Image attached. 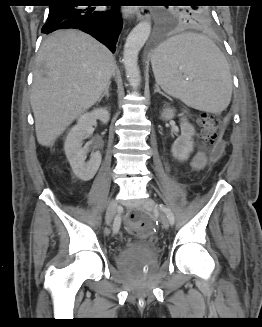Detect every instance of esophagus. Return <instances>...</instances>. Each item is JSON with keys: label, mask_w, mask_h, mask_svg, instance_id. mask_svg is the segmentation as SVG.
Returning <instances> with one entry per match:
<instances>
[{"label": "esophagus", "mask_w": 262, "mask_h": 327, "mask_svg": "<svg viewBox=\"0 0 262 327\" xmlns=\"http://www.w3.org/2000/svg\"><path fill=\"white\" fill-rule=\"evenodd\" d=\"M137 20H150L152 17V10L150 8L137 9Z\"/></svg>", "instance_id": "1"}]
</instances>
